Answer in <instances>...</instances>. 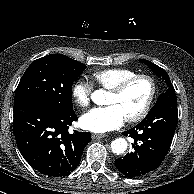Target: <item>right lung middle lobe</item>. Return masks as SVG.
Segmentation results:
<instances>
[{
  "label": "right lung middle lobe",
  "mask_w": 194,
  "mask_h": 194,
  "mask_svg": "<svg viewBox=\"0 0 194 194\" xmlns=\"http://www.w3.org/2000/svg\"><path fill=\"white\" fill-rule=\"evenodd\" d=\"M86 65L62 54H51L32 62L22 76L14 103L42 99L56 106H72V84Z\"/></svg>",
  "instance_id": "obj_1"
}]
</instances>
